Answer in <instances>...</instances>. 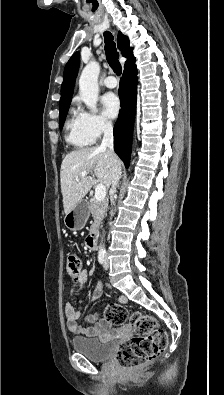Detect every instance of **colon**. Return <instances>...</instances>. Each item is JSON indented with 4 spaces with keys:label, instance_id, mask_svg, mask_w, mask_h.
Wrapping results in <instances>:
<instances>
[{
    "label": "colon",
    "instance_id": "1",
    "mask_svg": "<svg viewBox=\"0 0 224 395\" xmlns=\"http://www.w3.org/2000/svg\"><path fill=\"white\" fill-rule=\"evenodd\" d=\"M82 261L79 256L70 254L66 270L71 277L81 273ZM105 319L113 325H124L129 320L130 327L136 335L122 343L116 352L120 365L136 369L157 358L167 347L168 336L155 318L139 312L128 315L126 308L117 303H109L104 310Z\"/></svg>",
    "mask_w": 224,
    "mask_h": 395
}]
</instances>
